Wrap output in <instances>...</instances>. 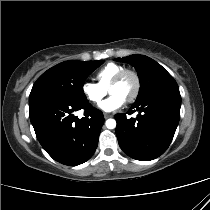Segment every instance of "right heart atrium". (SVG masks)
I'll use <instances>...</instances> for the list:
<instances>
[{
	"label": "right heart atrium",
	"mask_w": 210,
	"mask_h": 210,
	"mask_svg": "<svg viewBox=\"0 0 210 210\" xmlns=\"http://www.w3.org/2000/svg\"><path fill=\"white\" fill-rule=\"evenodd\" d=\"M81 93L91 104H98L106 94V90L97 83L84 81L81 84Z\"/></svg>",
	"instance_id": "right-heart-atrium-1"
}]
</instances>
